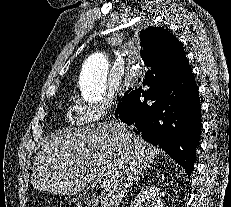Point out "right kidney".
Wrapping results in <instances>:
<instances>
[{"instance_id": "right-kidney-1", "label": "right kidney", "mask_w": 231, "mask_h": 207, "mask_svg": "<svg viewBox=\"0 0 231 207\" xmlns=\"http://www.w3.org/2000/svg\"><path fill=\"white\" fill-rule=\"evenodd\" d=\"M163 192L154 185L144 186L131 202V207H163Z\"/></svg>"}]
</instances>
